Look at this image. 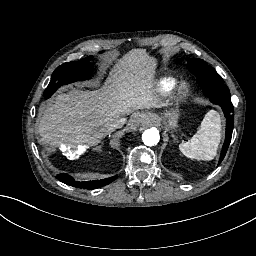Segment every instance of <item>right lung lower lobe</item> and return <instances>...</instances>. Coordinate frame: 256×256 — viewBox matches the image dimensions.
Returning a JSON list of instances; mask_svg holds the SVG:
<instances>
[{"label":"right lung lower lobe","mask_w":256,"mask_h":256,"mask_svg":"<svg viewBox=\"0 0 256 256\" xmlns=\"http://www.w3.org/2000/svg\"><path fill=\"white\" fill-rule=\"evenodd\" d=\"M116 177L117 176H113V177L101 179V180L79 182V181H75L68 174L62 173L57 176V179L65 184L73 186V187L85 188V189H96V188H99V187H102V186H105V185L111 183L112 181H114L116 179Z\"/></svg>","instance_id":"1"}]
</instances>
